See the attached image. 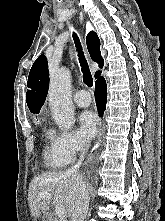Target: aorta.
<instances>
[{"mask_svg": "<svg viewBox=\"0 0 165 221\" xmlns=\"http://www.w3.org/2000/svg\"><path fill=\"white\" fill-rule=\"evenodd\" d=\"M49 105L51 115L59 128L69 130L74 124V107L71 101V73L60 69L50 77Z\"/></svg>", "mask_w": 165, "mask_h": 221, "instance_id": "obj_1", "label": "aorta"}]
</instances>
